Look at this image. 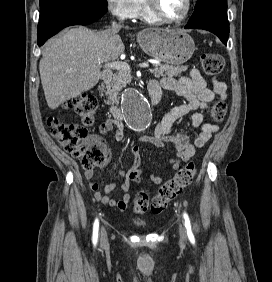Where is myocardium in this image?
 <instances>
[{"label": "myocardium", "mask_w": 272, "mask_h": 282, "mask_svg": "<svg viewBox=\"0 0 272 282\" xmlns=\"http://www.w3.org/2000/svg\"><path fill=\"white\" fill-rule=\"evenodd\" d=\"M146 4H145V8L147 10V12L152 15L153 17H155L157 20H160L162 22L165 23H181L184 20H186L192 10V0H185L186 2V10L184 12V14L180 17L177 18H170L167 17L158 7L156 0H145Z\"/></svg>", "instance_id": "1"}]
</instances>
